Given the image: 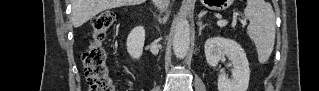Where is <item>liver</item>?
<instances>
[{
  "mask_svg": "<svg viewBox=\"0 0 319 91\" xmlns=\"http://www.w3.org/2000/svg\"><path fill=\"white\" fill-rule=\"evenodd\" d=\"M146 0H72V22L79 27L99 13L121 6L138 5Z\"/></svg>",
  "mask_w": 319,
  "mask_h": 91,
  "instance_id": "liver-1",
  "label": "liver"
}]
</instances>
